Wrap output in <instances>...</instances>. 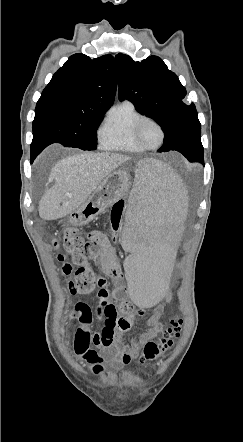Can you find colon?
Here are the masks:
<instances>
[{
    "label": "colon",
    "mask_w": 243,
    "mask_h": 442,
    "mask_svg": "<svg viewBox=\"0 0 243 442\" xmlns=\"http://www.w3.org/2000/svg\"><path fill=\"white\" fill-rule=\"evenodd\" d=\"M124 209L125 202L123 200H118L113 205L110 218L113 233H116L122 224ZM53 244L55 247L60 245L57 240H54ZM61 246L64 252L59 254V260L62 263V273L68 278V289L74 294L85 295L99 287L96 281L98 276L88 263V244L77 226H70L64 231ZM66 256L72 258L76 268L66 261ZM181 327V319L172 320L171 325L159 339L149 341L144 345L142 356L136 358V365L146 366L147 362L165 355L180 336Z\"/></svg>",
    "instance_id": "obj_1"
}]
</instances>
